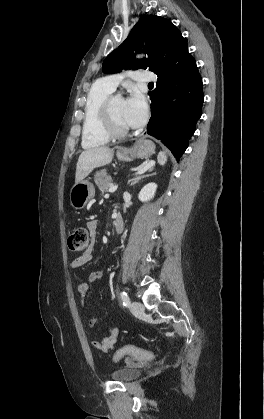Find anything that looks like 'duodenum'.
Segmentation results:
<instances>
[{
	"label": "duodenum",
	"instance_id": "410a0bca",
	"mask_svg": "<svg viewBox=\"0 0 264 419\" xmlns=\"http://www.w3.org/2000/svg\"><path fill=\"white\" fill-rule=\"evenodd\" d=\"M113 229L116 233H120L123 229V221L122 218L120 216H117L114 220H113Z\"/></svg>",
	"mask_w": 264,
	"mask_h": 419
}]
</instances>
